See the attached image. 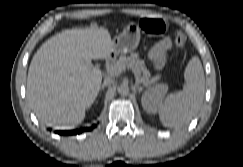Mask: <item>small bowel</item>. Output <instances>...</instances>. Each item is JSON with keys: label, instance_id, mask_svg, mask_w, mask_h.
<instances>
[{"label": "small bowel", "instance_id": "c3829d8e", "mask_svg": "<svg viewBox=\"0 0 243 167\" xmlns=\"http://www.w3.org/2000/svg\"><path fill=\"white\" fill-rule=\"evenodd\" d=\"M170 44L171 43L169 39H163L154 45L151 49L149 53V59L156 68H160L163 65Z\"/></svg>", "mask_w": 243, "mask_h": 167}]
</instances>
